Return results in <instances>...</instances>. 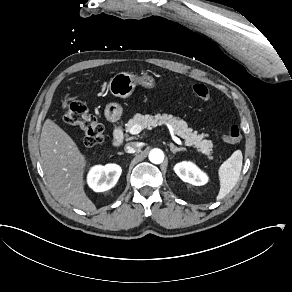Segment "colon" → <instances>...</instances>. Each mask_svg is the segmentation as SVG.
<instances>
[{
	"label": "colon",
	"mask_w": 292,
	"mask_h": 292,
	"mask_svg": "<svg viewBox=\"0 0 292 292\" xmlns=\"http://www.w3.org/2000/svg\"><path fill=\"white\" fill-rule=\"evenodd\" d=\"M194 94L205 102L212 101L210 89L203 84H195L192 87ZM62 116L68 123L80 127L84 132V142L87 146L93 147L101 144L104 140V128L98 120L90 114L87 106L78 100H69L62 104ZM241 138V131L238 126L231 125L226 134L225 140L230 143L238 142Z\"/></svg>",
	"instance_id": "5ec220e1"
}]
</instances>
